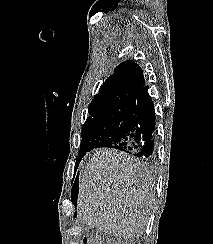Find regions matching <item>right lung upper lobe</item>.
Wrapping results in <instances>:
<instances>
[{
	"label": "right lung upper lobe",
	"mask_w": 213,
	"mask_h": 244,
	"mask_svg": "<svg viewBox=\"0 0 213 244\" xmlns=\"http://www.w3.org/2000/svg\"><path fill=\"white\" fill-rule=\"evenodd\" d=\"M145 86L143 70L134 61L127 60L115 68L92 101L117 95L137 96Z\"/></svg>",
	"instance_id": "1"
}]
</instances>
